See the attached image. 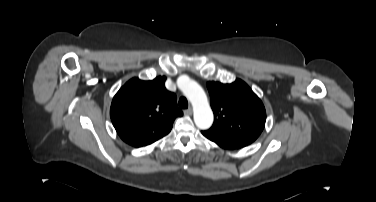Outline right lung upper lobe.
<instances>
[{
  "label": "right lung upper lobe",
  "instance_id": "obj_1",
  "mask_svg": "<svg viewBox=\"0 0 376 202\" xmlns=\"http://www.w3.org/2000/svg\"><path fill=\"white\" fill-rule=\"evenodd\" d=\"M159 76L152 81L129 80L114 96L110 109L112 123L123 141L134 147L149 145L167 135L183 112L176 95L169 92Z\"/></svg>",
  "mask_w": 376,
  "mask_h": 202
}]
</instances>
